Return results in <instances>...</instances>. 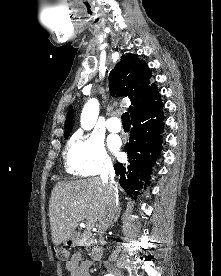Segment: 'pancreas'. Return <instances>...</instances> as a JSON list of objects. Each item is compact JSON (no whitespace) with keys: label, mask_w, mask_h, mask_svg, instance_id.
I'll return each mask as SVG.
<instances>
[{"label":"pancreas","mask_w":221,"mask_h":276,"mask_svg":"<svg viewBox=\"0 0 221 276\" xmlns=\"http://www.w3.org/2000/svg\"><path fill=\"white\" fill-rule=\"evenodd\" d=\"M95 244H96V239L91 233L90 229L85 230L78 241V246L89 247Z\"/></svg>","instance_id":"cf45deb5"}]
</instances>
